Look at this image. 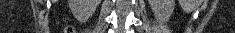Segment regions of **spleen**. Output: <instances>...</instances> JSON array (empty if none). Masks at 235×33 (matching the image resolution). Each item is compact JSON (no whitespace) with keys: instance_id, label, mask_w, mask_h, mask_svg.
I'll list each match as a JSON object with an SVG mask.
<instances>
[{"instance_id":"3e777b00","label":"spleen","mask_w":235,"mask_h":33,"mask_svg":"<svg viewBox=\"0 0 235 33\" xmlns=\"http://www.w3.org/2000/svg\"><path fill=\"white\" fill-rule=\"evenodd\" d=\"M187 10H191L192 6H188V5H183Z\"/></svg>"}]
</instances>
